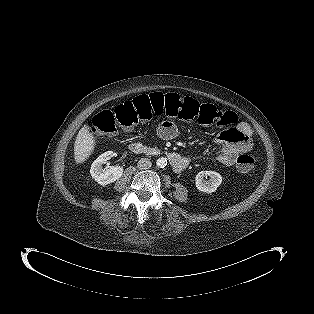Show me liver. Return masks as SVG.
Wrapping results in <instances>:
<instances>
[{"instance_id":"1","label":"liver","mask_w":314,"mask_h":314,"mask_svg":"<svg viewBox=\"0 0 314 314\" xmlns=\"http://www.w3.org/2000/svg\"><path fill=\"white\" fill-rule=\"evenodd\" d=\"M96 147V139L90 132L89 127L84 125L77 137L74 144V158L77 164H81L86 161L93 153Z\"/></svg>"}]
</instances>
